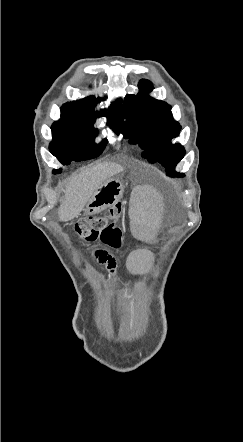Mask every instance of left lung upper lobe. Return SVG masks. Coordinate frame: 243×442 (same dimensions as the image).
Here are the masks:
<instances>
[{
  "label": "left lung upper lobe",
  "mask_w": 243,
  "mask_h": 442,
  "mask_svg": "<svg viewBox=\"0 0 243 442\" xmlns=\"http://www.w3.org/2000/svg\"><path fill=\"white\" fill-rule=\"evenodd\" d=\"M140 93L126 95L124 100V123L122 133L146 151L143 157L149 162H159L168 174H174V168L184 157L183 146L172 143L181 130L174 121L171 107L164 101L150 97L147 93L154 88L148 80H141L138 85Z\"/></svg>",
  "instance_id": "5c2ea615"
}]
</instances>
